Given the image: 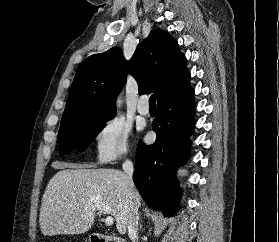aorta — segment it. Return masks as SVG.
<instances>
[{"instance_id": "1", "label": "aorta", "mask_w": 279, "mask_h": 242, "mask_svg": "<svg viewBox=\"0 0 279 242\" xmlns=\"http://www.w3.org/2000/svg\"><path fill=\"white\" fill-rule=\"evenodd\" d=\"M120 104V100H118V105Z\"/></svg>"}]
</instances>
